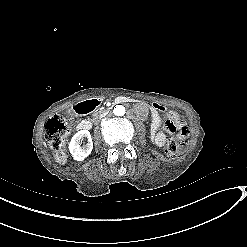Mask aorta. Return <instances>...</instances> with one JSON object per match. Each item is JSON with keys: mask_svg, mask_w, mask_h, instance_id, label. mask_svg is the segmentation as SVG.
<instances>
[{"mask_svg": "<svg viewBox=\"0 0 247 247\" xmlns=\"http://www.w3.org/2000/svg\"><path fill=\"white\" fill-rule=\"evenodd\" d=\"M115 116H123L125 114V107L122 105H116L113 109Z\"/></svg>", "mask_w": 247, "mask_h": 247, "instance_id": "aorta-1", "label": "aorta"}]
</instances>
